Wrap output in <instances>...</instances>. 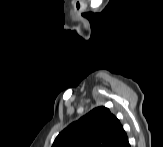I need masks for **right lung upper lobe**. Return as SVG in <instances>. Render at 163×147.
Masks as SVG:
<instances>
[{"instance_id":"right-lung-upper-lobe-1","label":"right lung upper lobe","mask_w":163,"mask_h":147,"mask_svg":"<svg viewBox=\"0 0 163 147\" xmlns=\"http://www.w3.org/2000/svg\"><path fill=\"white\" fill-rule=\"evenodd\" d=\"M126 133L106 107H97L71 123L52 147H113Z\"/></svg>"}]
</instances>
